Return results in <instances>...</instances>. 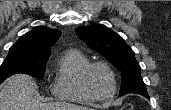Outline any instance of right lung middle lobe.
Segmentation results:
<instances>
[{
    "label": "right lung middle lobe",
    "mask_w": 171,
    "mask_h": 110,
    "mask_svg": "<svg viewBox=\"0 0 171 110\" xmlns=\"http://www.w3.org/2000/svg\"><path fill=\"white\" fill-rule=\"evenodd\" d=\"M49 55H27L17 50H9L1 65L0 82L16 73H26L36 78H43Z\"/></svg>",
    "instance_id": "right-lung-middle-lobe-1"
}]
</instances>
